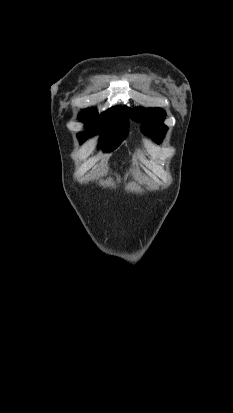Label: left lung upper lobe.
I'll use <instances>...</instances> for the list:
<instances>
[{
    "label": "left lung upper lobe",
    "mask_w": 233,
    "mask_h": 413,
    "mask_svg": "<svg viewBox=\"0 0 233 413\" xmlns=\"http://www.w3.org/2000/svg\"><path fill=\"white\" fill-rule=\"evenodd\" d=\"M128 115L138 122H143L141 131L152 137L158 144L162 142L163 136L167 132L168 128L164 125L163 120L166 113L161 108H137L129 109Z\"/></svg>",
    "instance_id": "1"
}]
</instances>
